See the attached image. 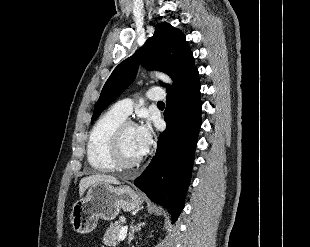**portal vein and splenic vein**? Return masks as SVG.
<instances>
[{"label": "portal vein and splenic vein", "mask_w": 310, "mask_h": 247, "mask_svg": "<svg viewBox=\"0 0 310 247\" xmlns=\"http://www.w3.org/2000/svg\"><path fill=\"white\" fill-rule=\"evenodd\" d=\"M127 229H128L127 226H124V227L121 228V230H120V235H119V239H120L121 241H123V240L126 238Z\"/></svg>", "instance_id": "18ae733b"}]
</instances>
